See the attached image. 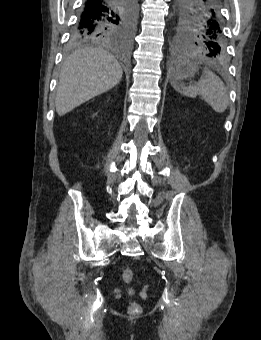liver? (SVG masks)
<instances>
[{
    "mask_svg": "<svg viewBox=\"0 0 261 340\" xmlns=\"http://www.w3.org/2000/svg\"><path fill=\"white\" fill-rule=\"evenodd\" d=\"M123 75L116 58L101 48H81L71 54L60 71L56 111L63 116L77 106L116 86Z\"/></svg>",
    "mask_w": 261,
    "mask_h": 340,
    "instance_id": "1",
    "label": "liver"
}]
</instances>
